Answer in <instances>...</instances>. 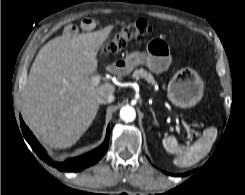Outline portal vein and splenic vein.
<instances>
[{"label":"portal vein and splenic vein","instance_id":"18ae733b","mask_svg":"<svg viewBox=\"0 0 245 195\" xmlns=\"http://www.w3.org/2000/svg\"><path fill=\"white\" fill-rule=\"evenodd\" d=\"M91 82L93 83V85L98 86L101 82V77L99 75L93 76L91 78ZM181 123L185 129V132L190 136L192 133V130L189 127V125H187L184 121H181Z\"/></svg>","mask_w":245,"mask_h":195}]
</instances>
